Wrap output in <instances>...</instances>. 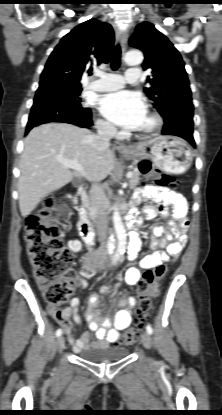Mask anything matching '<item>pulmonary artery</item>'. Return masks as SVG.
<instances>
[{
	"mask_svg": "<svg viewBox=\"0 0 222 415\" xmlns=\"http://www.w3.org/2000/svg\"><path fill=\"white\" fill-rule=\"evenodd\" d=\"M96 76L99 79L89 83L88 88L97 92H107L123 87L125 82L131 84L138 82L140 79V70L139 68L129 69L124 77L106 73H97Z\"/></svg>",
	"mask_w": 222,
	"mask_h": 415,
	"instance_id": "e3ab8cb5",
	"label": "pulmonary artery"
}]
</instances>
